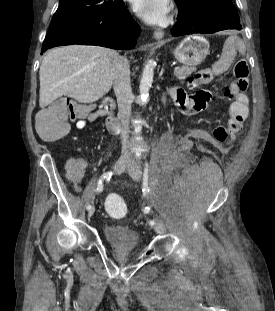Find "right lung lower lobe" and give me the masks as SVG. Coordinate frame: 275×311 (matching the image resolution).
Returning a JSON list of instances; mask_svg holds the SVG:
<instances>
[{"label":"right lung lower lobe","mask_w":275,"mask_h":311,"mask_svg":"<svg viewBox=\"0 0 275 311\" xmlns=\"http://www.w3.org/2000/svg\"><path fill=\"white\" fill-rule=\"evenodd\" d=\"M139 33V25L127 13L123 2L110 12L51 26L44 39L41 54L49 48L70 44L131 49L135 47Z\"/></svg>","instance_id":"1"}]
</instances>
